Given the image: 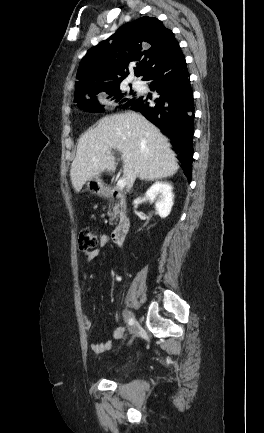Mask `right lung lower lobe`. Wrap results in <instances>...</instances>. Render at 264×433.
<instances>
[{"label": "right lung lower lobe", "mask_w": 264, "mask_h": 433, "mask_svg": "<svg viewBox=\"0 0 264 433\" xmlns=\"http://www.w3.org/2000/svg\"><path fill=\"white\" fill-rule=\"evenodd\" d=\"M189 76L184 55L178 53L143 77L158 97L137 95L125 108L142 113L171 139L190 182L195 116Z\"/></svg>", "instance_id": "obj_1"}]
</instances>
